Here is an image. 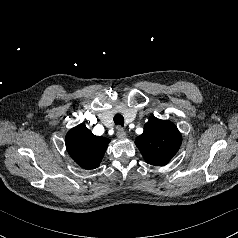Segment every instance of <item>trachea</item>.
<instances>
[{"label":"trachea","mask_w":238,"mask_h":238,"mask_svg":"<svg viewBox=\"0 0 238 238\" xmlns=\"http://www.w3.org/2000/svg\"><path fill=\"white\" fill-rule=\"evenodd\" d=\"M114 123L116 125L123 126L124 125V117L121 114H116L114 116Z\"/></svg>","instance_id":"1"}]
</instances>
